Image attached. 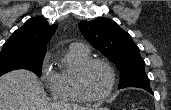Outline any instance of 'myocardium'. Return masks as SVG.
Wrapping results in <instances>:
<instances>
[{"label":"myocardium","mask_w":171,"mask_h":110,"mask_svg":"<svg viewBox=\"0 0 171 110\" xmlns=\"http://www.w3.org/2000/svg\"><path fill=\"white\" fill-rule=\"evenodd\" d=\"M100 64L103 65L110 74V85L109 88L102 94L94 96L91 95L85 85H84V77L88 69L94 65ZM116 86V72L113 66L104 59H89L84 62L75 74V88L78 94L86 101L94 102V101H101L111 96Z\"/></svg>","instance_id":"1"}]
</instances>
